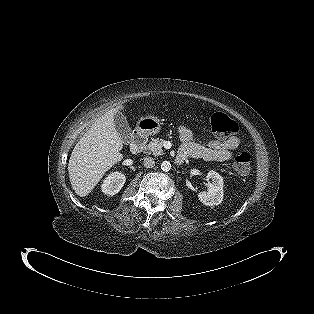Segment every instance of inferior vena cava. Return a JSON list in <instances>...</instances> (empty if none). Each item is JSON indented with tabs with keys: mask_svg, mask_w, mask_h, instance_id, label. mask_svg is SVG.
Masks as SVG:
<instances>
[{
	"mask_svg": "<svg viewBox=\"0 0 314 314\" xmlns=\"http://www.w3.org/2000/svg\"><path fill=\"white\" fill-rule=\"evenodd\" d=\"M143 165L146 168H153L155 166V160L152 157H145L143 159Z\"/></svg>",
	"mask_w": 314,
	"mask_h": 314,
	"instance_id": "1",
	"label": "inferior vena cava"
}]
</instances>
